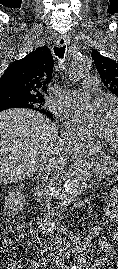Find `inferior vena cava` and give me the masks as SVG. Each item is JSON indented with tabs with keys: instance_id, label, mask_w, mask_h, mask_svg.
Wrapping results in <instances>:
<instances>
[{
	"instance_id": "inferior-vena-cava-1",
	"label": "inferior vena cava",
	"mask_w": 118,
	"mask_h": 269,
	"mask_svg": "<svg viewBox=\"0 0 118 269\" xmlns=\"http://www.w3.org/2000/svg\"><path fill=\"white\" fill-rule=\"evenodd\" d=\"M62 146H63L62 142L56 143L51 152V156L48 157L45 161H43L39 165L38 167L39 171L37 174V180H38L37 184H39L40 181L44 182L48 178L50 173L55 169H57L59 165L62 163V157L60 152V148Z\"/></svg>"
}]
</instances>
